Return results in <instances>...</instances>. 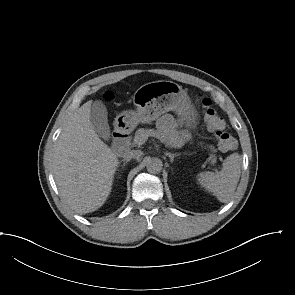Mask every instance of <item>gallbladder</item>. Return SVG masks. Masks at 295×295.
<instances>
[{
    "mask_svg": "<svg viewBox=\"0 0 295 295\" xmlns=\"http://www.w3.org/2000/svg\"><path fill=\"white\" fill-rule=\"evenodd\" d=\"M107 114V109L102 101H94L91 107L90 120L95 131L105 140H108L110 137Z\"/></svg>",
    "mask_w": 295,
    "mask_h": 295,
    "instance_id": "bac80fb5",
    "label": "gallbladder"
}]
</instances>
